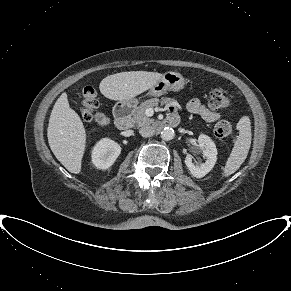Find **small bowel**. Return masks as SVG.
I'll list each match as a JSON object with an SVG mask.
<instances>
[{"label":"small bowel","mask_w":291,"mask_h":291,"mask_svg":"<svg viewBox=\"0 0 291 291\" xmlns=\"http://www.w3.org/2000/svg\"><path fill=\"white\" fill-rule=\"evenodd\" d=\"M176 110V105L172 104L169 109V117H176ZM187 110L192 114L199 115L209 123L216 122L220 118V114L217 111L210 109L197 98L191 99L187 103Z\"/></svg>","instance_id":"small-bowel-1"}]
</instances>
